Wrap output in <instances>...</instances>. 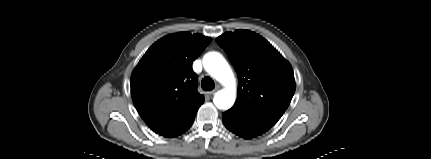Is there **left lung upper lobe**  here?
I'll list each match as a JSON object with an SVG mask.
<instances>
[{"label": "left lung upper lobe", "mask_w": 431, "mask_h": 159, "mask_svg": "<svg viewBox=\"0 0 431 159\" xmlns=\"http://www.w3.org/2000/svg\"><path fill=\"white\" fill-rule=\"evenodd\" d=\"M238 75V94L228 113L257 125L272 127L295 92L290 63L263 37L248 31L227 32L216 39Z\"/></svg>", "instance_id": "5c2ea615"}]
</instances>
